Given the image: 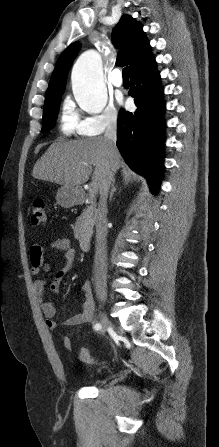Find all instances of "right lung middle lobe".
I'll list each match as a JSON object with an SVG mask.
<instances>
[{
	"mask_svg": "<svg viewBox=\"0 0 219 447\" xmlns=\"http://www.w3.org/2000/svg\"><path fill=\"white\" fill-rule=\"evenodd\" d=\"M61 95L62 93H59L45 99L43 109L42 133H45L54 127L55 120L58 114V107Z\"/></svg>",
	"mask_w": 219,
	"mask_h": 447,
	"instance_id": "1",
	"label": "right lung middle lobe"
}]
</instances>
